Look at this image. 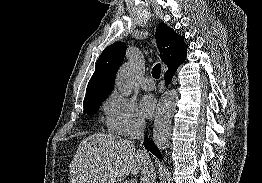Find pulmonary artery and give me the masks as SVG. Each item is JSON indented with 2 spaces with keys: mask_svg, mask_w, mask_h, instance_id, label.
Listing matches in <instances>:
<instances>
[{
  "mask_svg": "<svg viewBox=\"0 0 262 183\" xmlns=\"http://www.w3.org/2000/svg\"><path fill=\"white\" fill-rule=\"evenodd\" d=\"M141 87L146 91H151L155 88V83L150 76H145L141 80Z\"/></svg>",
  "mask_w": 262,
  "mask_h": 183,
  "instance_id": "1",
  "label": "pulmonary artery"
}]
</instances>
